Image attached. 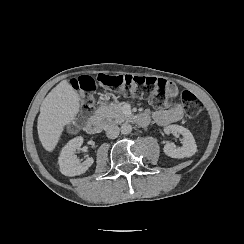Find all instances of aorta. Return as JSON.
<instances>
[{
  "instance_id": "1",
  "label": "aorta",
  "mask_w": 244,
  "mask_h": 244,
  "mask_svg": "<svg viewBox=\"0 0 244 244\" xmlns=\"http://www.w3.org/2000/svg\"><path fill=\"white\" fill-rule=\"evenodd\" d=\"M132 131V126L128 123H124L121 125V133L122 134H125V135H128L130 134Z\"/></svg>"
}]
</instances>
